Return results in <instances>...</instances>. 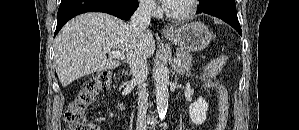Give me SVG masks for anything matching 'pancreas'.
Masks as SVG:
<instances>
[{
    "label": "pancreas",
    "instance_id": "obj_1",
    "mask_svg": "<svg viewBox=\"0 0 299 130\" xmlns=\"http://www.w3.org/2000/svg\"><path fill=\"white\" fill-rule=\"evenodd\" d=\"M177 58L181 61L180 69L184 72L189 71L192 64V56L190 53L183 49H177Z\"/></svg>",
    "mask_w": 299,
    "mask_h": 130
}]
</instances>
